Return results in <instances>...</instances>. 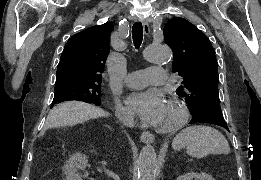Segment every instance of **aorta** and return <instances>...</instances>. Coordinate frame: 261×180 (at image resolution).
<instances>
[{
  "mask_svg": "<svg viewBox=\"0 0 261 180\" xmlns=\"http://www.w3.org/2000/svg\"><path fill=\"white\" fill-rule=\"evenodd\" d=\"M143 57L155 64L169 62L172 58V51L166 45H150L143 51ZM157 158L155 149L146 145L142 148L138 158V179L155 180Z\"/></svg>",
  "mask_w": 261,
  "mask_h": 180,
  "instance_id": "aorta-1",
  "label": "aorta"
}]
</instances>
